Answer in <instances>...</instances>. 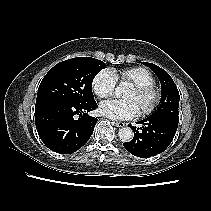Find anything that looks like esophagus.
I'll return each mask as SVG.
<instances>
[{
  "label": "esophagus",
  "mask_w": 211,
  "mask_h": 211,
  "mask_svg": "<svg viewBox=\"0 0 211 211\" xmlns=\"http://www.w3.org/2000/svg\"><path fill=\"white\" fill-rule=\"evenodd\" d=\"M113 124L118 128H122L125 126V123H123V122H113Z\"/></svg>",
  "instance_id": "obj_1"
}]
</instances>
